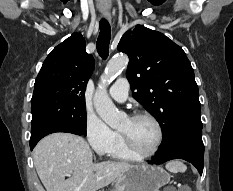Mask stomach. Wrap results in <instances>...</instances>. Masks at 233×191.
Listing matches in <instances>:
<instances>
[{"instance_id":"0dacf381","label":"stomach","mask_w":233,"mask_h":191,"mask_svg":"<svg viewBox=\"0 0 233 191\" xmlns=\"http://www.w3.org/2000/svg\"><path fill=\"white\" fill-rule=\"evenodd\" d=\"M169 180L170 175L161 166L136 165L122 173L112 191H159Z\"/></svg>"}]
</instances>
